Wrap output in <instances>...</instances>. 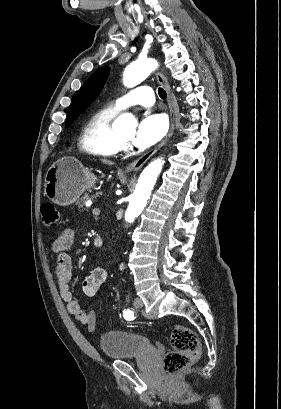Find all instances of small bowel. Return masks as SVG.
I'll list each match as a JSON object with an SVG mask.
<instances>
[{
    "label": "small bowel",
    "instance_id": "obj_1",
    "mask_svg": "<svg viewBox=\"0 0 281 409\" xmlns=\"http://www.w3.org/2000/svg\"><path fill=\"white\" fill-rule=\"evenodd\" d=\"M74 237L75 234L72 229L64 228L53 240L52 250L56 255L54 272L60 295L66 304L67 311L76 321L83 325H88L89 321H96L95 312L91 309H82L80 303L73 297L71 292L72 259L68 251L73 244ZM93 246L97 250L102 249V240L100 238L94 239ZM107 280L108 272L105 268H94L84 280L83 290L85 294L90 297L99 294L103 290Z\"/></svg>",
    "mask_w": 281,
    "mask_h": 409
}]
</instances>
